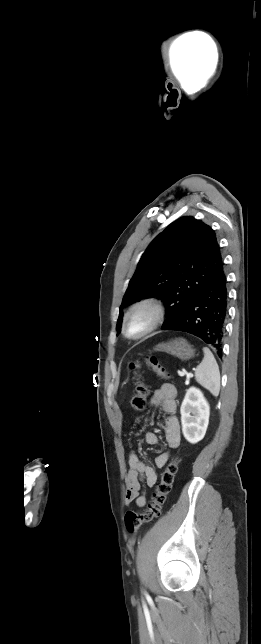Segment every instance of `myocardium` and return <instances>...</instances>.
I'll list each match as a JSON object with an SVG mask.
<instances>
[{"label":"myocardium","instance_id":"myocardium-1","mask_svg":"<svg viewBox=\"0 0 261 644\" xmlns=\"http://www.w3.org/2000/svg\"><path fill=\"white\" fill-rule=\"evenodd\" d=\"M139 310H147L150 313L148 325L137 334H130L129 323L133 314ZM166 316V307L162 299L156 296H146L136 300L126 311L123 323L122 333L128 340L136 341L142 339L157 329Z\"/></svg>","mask_w":261,"mask_h":644}]
</instances>
